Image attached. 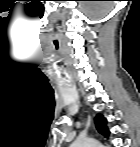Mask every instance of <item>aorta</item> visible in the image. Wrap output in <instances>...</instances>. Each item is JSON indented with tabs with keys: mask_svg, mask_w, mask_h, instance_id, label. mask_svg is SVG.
<instances>
[{
	"mask_svg": "<svg viewBox=\"0 0 140 147\" xmlns=\"http://www.w3.org/2000/svg\"><path fill=\"white\" fill-rule=\"evenodd\" d=\"M73 147H101L102 144L93 138H78L72 144Z\"/></svg>",
	"mask_w": 140,
	"mask_h": 147,
	"instance_id": "obj_1",
	"label": "aorta"
}]
</instances>
